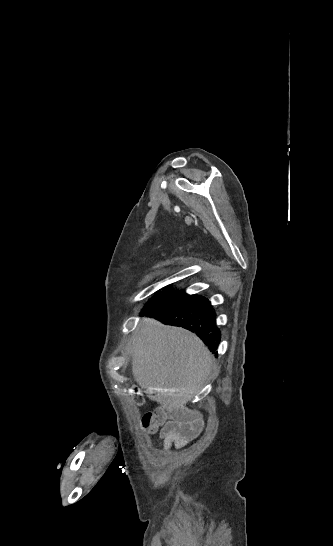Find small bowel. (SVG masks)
<instances>
[{
  "mask_svg": "<svg viewBox=\"0 0 333 546\" xmlns=\"http://www.w3.org/2000/svg\"><path fill=\"white\" fill-rule=\"evenodd\" d=\"M154 419L156 426L161 425L160 438L163 451H168L172 446H185L203 429V422L193 417L182 416L165 420L163 416L154 415Z\"/></svg>",
  "mask_w": 333,
  "mask_h": 546,
  "instance_id": "c3829d8e",
  "label": "small bowel"
}]
</instances>
